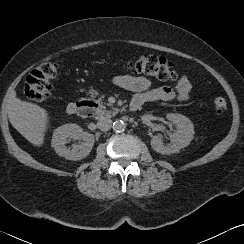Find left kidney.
Returning <instances> with one entry per match:
<instances>
[{
  "instance_id": "1",
  "label": "left kidney",
  "mask_w": 244,
  "mask_h": 244,
  "mask_svg": "<svg viewBox=\"0 0 244 244\" xmlns=\"http://www.w3.org/2000/svg\"><path fill=\"white\" fill-rule=\"evenodd\" d=\"M167 119L175 127L170 143L165 144L160 135L153 136L150 143L156 152L170 155L178 153L191 143L194 138V125L189 118L178 113L168 114Z\"/></svg>"
}]
</instances>
